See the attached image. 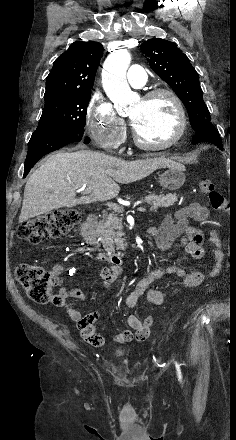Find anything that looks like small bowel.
Segmentation results:
<instances>
[{
  "label": "small bowel",
  "instance_id": "c3829d8e",
  "mask_svg": "<svg viewBox=\"0 0 236 440\" xmlns=\"http://www.w3.org/2000/svg\"><path fill=\"white\" fill-rule=\"evenodd\" d=\"M208 216L209 210L205 206L192 202L168 215L158 227L151 228L149 233L154 238L159 249L165 251L179 243L191 257L201 259L205 255L204 236L201 231L189 224L188 219L193 218L196 221L202 222ZM209 243L212 247L213 261L207 272L187 271L175 265L155 268L138 281L135 289L126 298V306L133 308L137 304L138 299L143 295L146 296V300L149 303L161 305L178 295L183 288L199 286L208 278L215 277L219 273L224 259L217 231L213 230L211 232ZM61 272L62 267L59 265L54 266L52 269L54 274L59 275ZM120 275L121 269L119 267L104 268L100 273L98 283L109 290ZM167 275L177 276L181 287L176 288L170 293L150 288L152 283ZM57 296L61 299V303L58 306L66 309L70 318L77 322V329L80 330L83 340L94 346L101 345L103 338L97 331L98 322L95 321L99 313L92 312L83 316L78 309L72 307L68 302L71 298L85 302V293L78 288L62 287ZM127 323L130 329L124 330L116 336L118 342L126 343L131 341L133 337L135 339H147L149 337L151 326L143 324L137 315H129Z\"/></svg>",
  "mask_w": 236,
  "mask_h": 440
}]
</instances>
